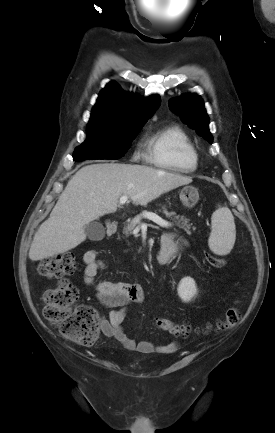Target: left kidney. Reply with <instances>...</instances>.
I'll return each instance as SVG.
<instances>
[{
    "label": "left kidney",
    "mask_w": 275,
    "mask_h": 433,
    "mask_svg": "<svg viewBox=\"0 0 275 433\" xmlns=\"http://www.w3.org/2000/svg\"><path fill=\"white\" fill-rule=\"evenodd\" d=\"M177 292L182 301L189 302L197 294V287L194 279L191 277H184L181 279Z\"/></svg>",
    "instance_id": "left-kidney-1"
}]
</instances>
